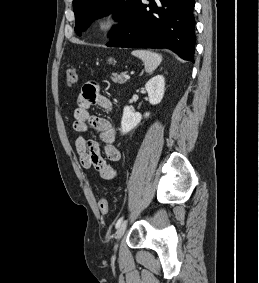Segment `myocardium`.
Listing matches in <instances>:
<instances>
[{
    "label": "myocardium",
    "mask_w": 259,
    "mask_h": 283,
    "mask_svg": "<svg viewBox=\"0 0 259 283\" xmlns=\"http://www.w3.org/2000/svg\"><path fill=\"white\" fill-rule=\"evenodd\" d=\"M121 23L120 17L114 11L100 15L94 22L93 28L97 34L106 36L112 33Z\"/></svg>",
    "instance_id": "1"
}]
</instances>
